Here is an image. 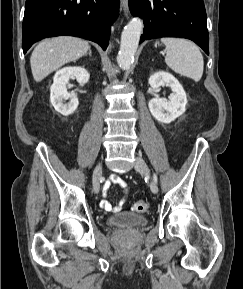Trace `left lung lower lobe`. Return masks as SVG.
Segmentation results:
<instances>
[{
	"mask_svg": "<svg viewBox=\"0 0 243 289\" xmlns=\"http://www.w3.org/2000/svg\"><path fill=\"white\" fill-rule=\"evenodd\" d=\"M129 8L132 15L144 20L140 42L158 37H184L209 54L203 0H129Z\"/></svg>",
	"mask_w": 243,
	"mask_h": 289,
	"instance_id": "1",
	"label": "left lung lower lobe"
}]
</instances>
